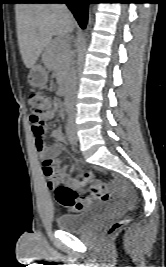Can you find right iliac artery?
Segmentation results:
<instances>
[{
  "instance_id": "obj_1",
  "label": "right iliac artery",
  "mask_w": 166,
  "mask_h": 267,
  "mask_svg": "<svg viewBox=\"0 0 166 267\" xmlns=\"http://www.w3.org/2000/svg\"><path fill=\"white\" fill-rule=\"evenodd\" d=\"M66 134H67V137H68L69 142L71 144L74 143V135H73V131L71 129L70 122H68L67 125H66Z\"/></svg>"
}]
</instances>
